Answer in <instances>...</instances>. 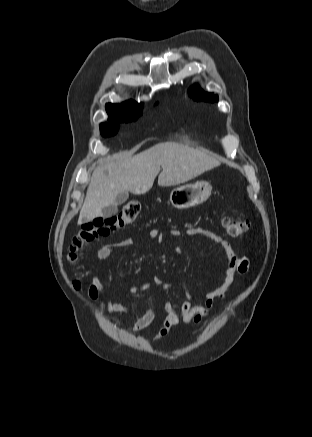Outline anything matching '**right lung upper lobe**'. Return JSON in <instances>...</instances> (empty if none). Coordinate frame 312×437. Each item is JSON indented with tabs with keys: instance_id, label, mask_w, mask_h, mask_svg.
Wrapping results in <instances>:
<instances>
[{
	"instance_id": "1",
	"label": "right lung upper lobe",
	"mask_w": 312,
	"mask_h": 437,
	"mask_svg": "<svg viewBox=\"0 0 312 437\" xmlns=\"http://www.w3.org/2000/svg\"><path fill=\"white\" fill-rule=\"evenodd\" d=\"M106 111L109 118L112 119H127L140 116L142 114V104H138L133 100L126 101L121 104H106Z\"/></svg>"
}]
</instances>
